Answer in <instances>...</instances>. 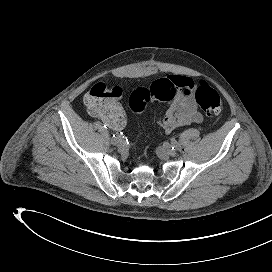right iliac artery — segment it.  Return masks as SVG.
Here are the masks:
<instances>
[{
	"instance_id": "right-iliac-artery-1",
	"label": "right iliac artery",
	"mask_w": 272,
	"mask_h": 272,
	"mask_svg": "<svg viewBox=\"0 0 272 272\" xmlns=\"http://www.w3.org/2000/svg\"><path fill=\"white\" fill-rule=\"evenodd\" d=\"M122 135H123L122 132L116 133L115 135H113V138H112V140H111V143H112V144H116V142H117L121 137H124V136H122Z\"/></svg>"
}]
</instances>
